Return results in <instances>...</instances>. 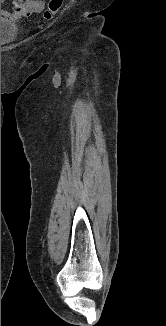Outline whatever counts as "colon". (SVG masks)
Instances as JSON below:
<instances>
[{
    "mask_svg": "<svg viewBox=\"0 0 166 326\" xmlns=\"http://www.w3.org/2000/svg\"><path fill=\"white\" fill-rule=\"evenodd\" d=\"M64 0H50L47 8L43 12V17L46 20H51L59 12Z\"/></svg>",
    "mask_w": 166,
    "mask_h": 326,
    "instance_id": "5ec220e1",
    "label": "colon"
}]
</instances>
